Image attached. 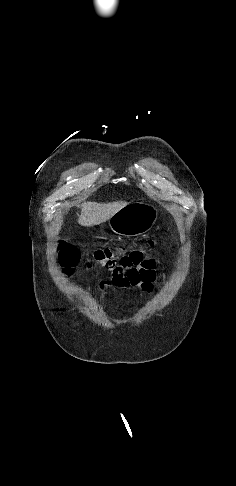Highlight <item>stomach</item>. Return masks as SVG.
<instances>
[{
	"label": "stomach",
	"instance_id": "stomach-1",
	"mask_svg": "<svg viewBox=\"0 0 236 486\" xmlns=\"http://www.w3.org/2000/svg\"><path fill=\"white\" fill-rule=\"evenodd\" d=\"M158 218L157 208L149 203L135 202L121 208L109 219L111 230L122 236H139L148 232Z\"/></svg>",
	"mask_w": 236,
	"mask_h": 486
}]
</instances>
